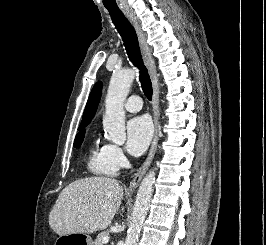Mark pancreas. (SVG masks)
Segmentation results:
<instances>
[{"label": "pancreas", "instance_id": "pancreas-1", "mask_svg": "<svg viewBox=\"0 0 266 245\" xmlns=\"http://www.w3.org/2000/svg\"><path fill=\"white\" fill-rule=\"evenodd\" d=\"M103 237H109V233H107V231H102V233L96 237L94 245H104Z\"/></svg>", "mask_w": 266, "mask_h": 245}]
</instances>
